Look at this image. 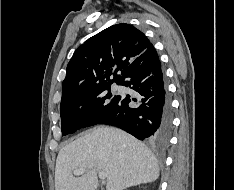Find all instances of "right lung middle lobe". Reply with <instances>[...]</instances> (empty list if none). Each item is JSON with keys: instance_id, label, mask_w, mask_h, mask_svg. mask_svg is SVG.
<instances>
[{"instance_id": "1", "label": "right lung middle lobe", "mask_w": 234, "mask_h": 190, "mask_svg": "<svg viewBox=\"0 0 234 190\" xmlns=\"http://www.w3.org/2000/svg\"><path fill=\"white\" fill-rule=\"evenodd\" d=\"M110 86L83 93L61 103L62 136L96 125L113 111L120 96L113 95Z\"/></svg>"}]
</instances>
